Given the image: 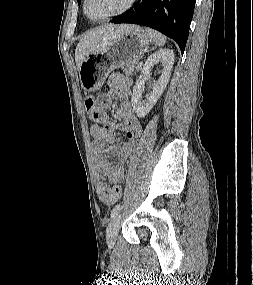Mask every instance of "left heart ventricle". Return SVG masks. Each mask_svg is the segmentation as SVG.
<instances>
[{"label":"left heart ventricle","mask_w":253,"mask_h":285,"mask_svg":"<svg viewBox=\"0 0 253 285\" xmlns=\"http://www.w3.org/2000/svg\"><path fill=\"white\" fill-rule=\"evenodd\" d=\"M128 0H88L87 14L91 18H100L122 9Z\"/></svg>","instance_id":"left-heart-ventricle-1"}]
</instances>
